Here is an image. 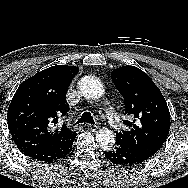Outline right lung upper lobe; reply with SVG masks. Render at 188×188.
I'll return each mask as SVG.
<instances>
[{
	"mask_svg": "<svg viewBox=\"0 0 188 188\" xmlns=\"http://www.w3.org/2000/svg\"><path fill=\"white\" fill-rule=\"evenodd\" d=\"M78 68L57 65L38 72L17 89L8 109V128L23 153L52 146L68 139L72 132L63 124L55 129L60 116L67 114V88Z\"/></svg>",
	"mask_w": 188,
	"mask_h": 188,
	"instance_id": "1",
	"label": "right lung upper lobe"
}]
</instances>
